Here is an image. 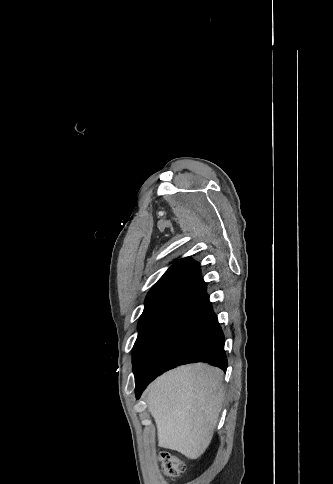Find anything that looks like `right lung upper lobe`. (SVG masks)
<instances>
[{"instance_id":"1","label":"right lung upper lobe","mask_w":333,"mask_h":484,"mask_svg":"<svg viewBox=\"0 0 333 484\" xmlns=\"http://www.w3.org/2000/svg\"><path fill=\"white\" fill-rule=\"evenodd\" d=\"M201 277L199 264L186 257L174 262L145 299L146 304L160 303Z\"/></svg>"}]
</instances>
